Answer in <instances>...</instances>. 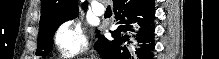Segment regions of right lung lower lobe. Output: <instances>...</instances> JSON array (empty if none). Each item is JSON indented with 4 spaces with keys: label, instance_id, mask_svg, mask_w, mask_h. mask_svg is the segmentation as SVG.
<instances>
[{
    "label": "right lung lower lobe",
    "instance_id": "obj_1",
    "mask_svg": "<svg viewBox=\"0 0 219 59\" xmlns=\"http://www.w3.org/2000/svg\"><path fill=\"white\" fill-rule=\"evenodd\" d=\"M114 13L121 24L112 38L98 37L94 47L103 59H128L132 48L139 59H152L154 50L153 0H113ZM138 43V44H134Z\"/></svg>",
    "mask_w": 219,
    "mask_h": 59
}]
</instances>
